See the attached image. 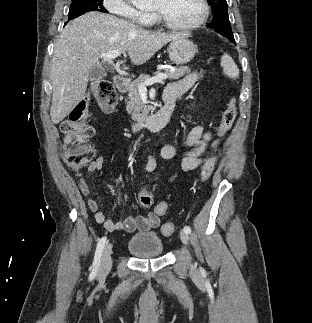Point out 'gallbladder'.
Masks as SVG:
<instances>
[{"mask_svg":"<svg viewBox=\"0 0 312 323\" xmlns=\"http://www.w3.org/2000/svg\"><path fill=\"white\" fill-rule=\"evenodd\" d=\"M107 76L105 68L102 66H93L92 70H90L88 74V80L93 82V80H98V78H105Z\"/></svg>","mask_w":312,"mask_h":323,"instance_id":"1","label":"gallbladder"}]
</instances>
